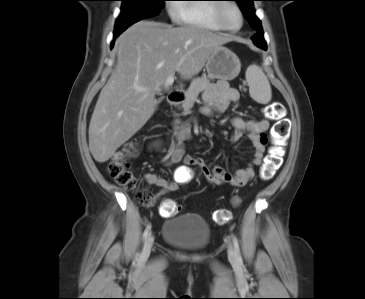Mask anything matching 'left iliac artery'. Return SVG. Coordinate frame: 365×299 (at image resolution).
<instances>
[{
	"mask_svg": "<svg viewBox=\"0 0 365 299\" xmlns=\"http://www.w3.org/2000/svg\"><path fill=\"white\" fill-rule=\"evenodd\" d=\"M233 244H234V247H235V250H236V253H237L238 261L240 263H242V257H241V254H240L239 243H238V240L235 236H233Z\"/></svg>",
	"mask_w": 365,
	"mask_h": 299,
	"instance_id": "left-iliac-artery-1",
	"label": "left iliac artery"
}]
</instances>
